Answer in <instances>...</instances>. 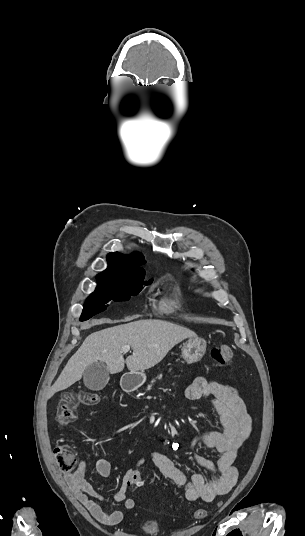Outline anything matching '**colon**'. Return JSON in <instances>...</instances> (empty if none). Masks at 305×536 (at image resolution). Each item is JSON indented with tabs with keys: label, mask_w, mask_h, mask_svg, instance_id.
<instances>
[{
	"label": "colon",
	"mask_w": 305,
	"mask_h": 536,
	"mask_svg": "<svg viewBox=\"0 0 305 536\" xmlns=\"http://www.w3.org/2000/svg\"><path fill=\"white\" fill-rule=\"evenodd\" d=\"M210 355L214 361L224 364L231 360L233 349L227 343L219 344L211 349ZM101 397L96 392H85L77 397L74 393H65L57 407L56 421L59 427L64 428L71 424L76 419V408L79 403L87 406H95L100 403ZM54 456L60 470L64 473L76 471L77 469V454L72 446L57 445L54 448ZM127 483L130 486H138L143 482L144 477L139 473L138 469L132 467L129 469ZM207 516V512L203 509L195 511L197 519H203Z\"/></svg>",
	"instance_id": "obj_1"
}]
</instances>
